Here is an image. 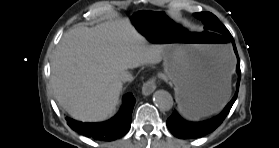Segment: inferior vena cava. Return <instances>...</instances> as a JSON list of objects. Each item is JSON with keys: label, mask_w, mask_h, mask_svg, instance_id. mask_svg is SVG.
I'll return each mask as SVG.
<instances>
[{"label": "inferior vena cava", "mask_w": 279, "mask_h": 148, "mask_svg": "<svg viewBox=\"0 0 279 148\" xmlns=\"http://www.w3.org/2000/svg\"><path fill=\"white\" fill-rule=\"evenodd\" d=\"M119 79L122 82H130L134 80V77L132 75L131 72L129 71H123L120 75H119Z\"/></svg>", "instance_id": "1"}]
</instances>
